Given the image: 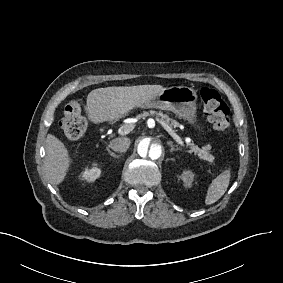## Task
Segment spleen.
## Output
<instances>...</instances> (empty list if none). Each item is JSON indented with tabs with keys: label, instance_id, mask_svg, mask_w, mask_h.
I'll list each match as a JSON object with an SVG mask.
<instances>
[{
	"label": "spleen",
	"instance_id": "spleen-1",
	"mask_svg": "<svg viewBox=\"0 0 283 283\" xmlns=\"http://www.w3.org/2000/svg\"><path fill=\"white\" fill-rule=\"evenodd\" d=\"M230 170H225L218 175L210 184L205 203L207 205L213 204L218 201L226 192L230 182Z\"/></svg>",
	"mask_w": 283,
	"mask_h": 283
}]
</instances>
